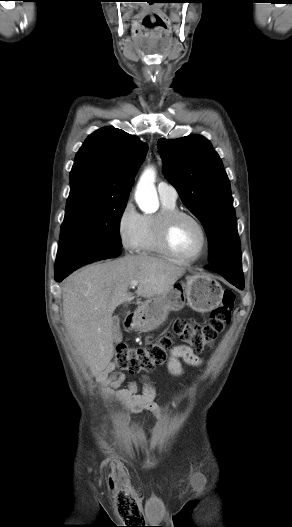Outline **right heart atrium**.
Here are the masks:
<instances>
[{
    "mask_svg": "<svg viewBox=\"0 0 292 527\" xmlns=\"http://www.w3.org/2000/svg\"><path fill=\"white\" fill-rule=\"evenodd\" d=\"M140 222V213L132 200H127L118 214L116 223L119 241L127 251L135 250Z\"/></svg>",
    "mask_w": 292,
    "mask_h": 527,
    "instance_id": "1",
    "label": "right heart atrium"
}]
</instances>
